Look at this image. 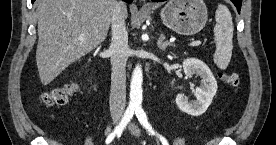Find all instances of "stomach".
I'll use <instances>...</instances> for the list:
<instances>
[{
    "mask_svg": "<svg viewBox=\"0 0 276 145\" xmlns=\"http://www.w3.org/2000/svg\"><path fill=\"white\" fill-rule=\"evenodd\" d=\"M160 16L164 25L176 33L194 35L204 28L208 13L203 0H170Z\"/></svg>",
    "mask_w": 276,
    "mask_h": 145,
    "instance_id": "stomach-1",
    "label": "stomach"
}]
</instances>
